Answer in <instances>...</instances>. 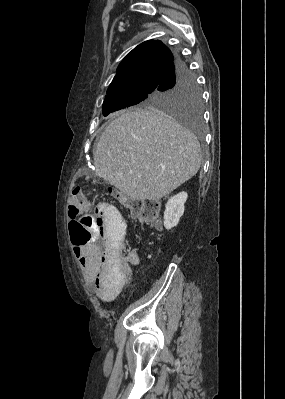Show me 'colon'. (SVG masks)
Listing matches in <instances>:
<instances>
[{
    "label": "colon",
    "instance_id": "obj_1",
    "mask_svg": "<svg viewBox=\"0 0 285 399\" xmlns=\"http://www.w3.org/2000/svg\"><path fill=\"white\" fill-rule=\"evenodd\" d=\"M88 206V197L85 190L78 185L74 186L69 202V212L73 215L69 222V231L74 244H85L97 240L95 232L86 228L92 220L91 215L88 213ZM124 207L131 215L143 222H149L156 227L161 225L160 204L155 199H146L143 202L128 200L124 202ZM109 250H112L111 252L113 253L115 252V247H111ZM117 258L119 259L117 268L120 275L128 276L131 272L133 254L129 251H123L117 255Z\"/></svg>",
    "mask_w": 285,
    "mask_h": 399
}]
</instances>
